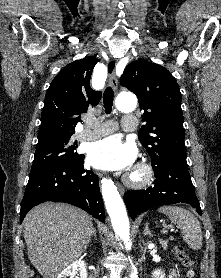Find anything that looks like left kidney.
Here are the masks:
<instances>
[{
  "label": "left kidney",
  "mask_w": 221,
  "mask_h": 278,
  "mask_svg": "<svg viewBox=\"0 0 221 278\" xmlns=\"http://www.w3.org/2000/svg\"><path fill=\"white\" fill-rule=\"evenodd\" d=\"M152 275L154 278H165V273L161 269L155 270Z\"/></svg>",
  "instance_id": "left-kidney-1"
}]
</instances>
